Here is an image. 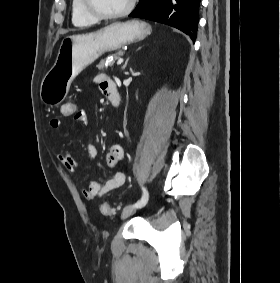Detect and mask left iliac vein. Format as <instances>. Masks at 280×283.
Wrapping results in <instances>:
<instances>
[{"instance_id":"obj_1","label":"left iliac vein","mask_w":280,"mask_h":283,"mask_svg":"<svg viewBox=\"0 0 280 283\" xmlns=\"http://www.w3.org/2000/svg\"><path fill=\"white\" fill-rule=\"evenodd\" d=\"M136 207L134 205H128L126 206L121 213V218L122 219H126L128 217H130L131 215H133L136 212Z\"/></svg>"}]
</instances>
